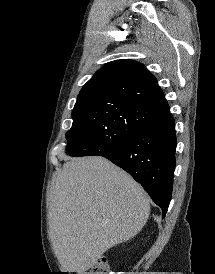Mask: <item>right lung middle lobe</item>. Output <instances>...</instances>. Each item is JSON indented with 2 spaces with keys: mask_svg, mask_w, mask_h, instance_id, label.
Returning a JSON list of instances; mask_svg holds the SVG:
<instances>
[{
  "mask_svg": "<svg viewBox=\"0 0 215 274\" xmlns=\"http://www.w3.org/2000/svg\"><path fill=\"white\" fill-rule=\"evenodd\" d=\"M156 115L116 100L75 104L66 133L67 154L74 157L109 152L139 131Z\"/></svg>",
  "mask_w": 215,
  "mask_h": 274,
  "instance_id": "obj_1",
  "label": "right lung middle lobe"
}]
</instances>
